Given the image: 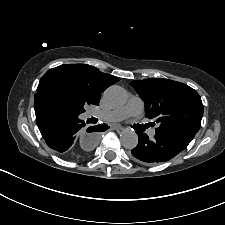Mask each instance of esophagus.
Listing matches in <instances>:
<instances>
[{"mask_svg": "<svg viewBox=\"0 0 225 225\" xmlns=\"http://www.w3.org/2000/svg\"><path fill=\"white\" fill-rule=\"evenodd\" d=\"M113 128L117 131L123 130V127L121 125H114Z\"/></svg>", "mask_w": 225, "mask_h": 225, "instance_id": "esophagus-1", "label": "esophagus"}]
</instances>
